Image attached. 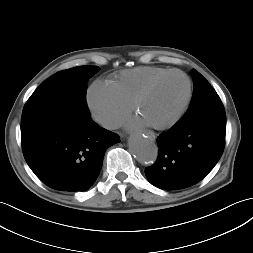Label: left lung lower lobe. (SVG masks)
I'll use <instances>...</instances> for the list:
<instances>
[{
    "instance_id": "obj_1",
    "label": "left lung lower lobe",
    "mask_w": 253,
    "mask_h": 253,
    "mask_svg": "<svg viewBox=\"0 0 253 253\" xmlns=\"http://www.w3.org/2000/svg\"><path fill=\"white\" fill-rule=\"evenodd\" d=\"M226 116L180 120L157 138V162L146 168L148 181L163 190L190 187L219 161L225 145Z\"/></svg>"
}]
</instances>
